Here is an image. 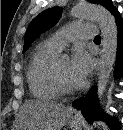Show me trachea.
<instances>
[{
	"instance_id": "1",
	"label": "trachea",
	"mask_w": 123,
	"mask_h": 130,
	"mask_svg": "<svg viewBox=\"0 0 123 130\" xmlns=\"http://www.w3.org/2000/svg\"><path fill=\"white\" fill-rule=\"evenodd\" d=\"M94 40H95V41H100V40H101V37H100V36H96Z\"/></svg>"
}]
</instances>
